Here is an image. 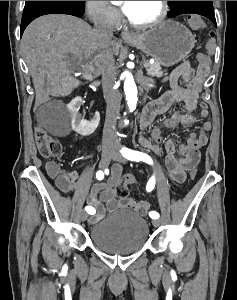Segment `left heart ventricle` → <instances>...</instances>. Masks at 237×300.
Here are the masks:
<instances>
[{
    "label": "left heart ventricle",
    "instance_id": "obj_1",
    "mask_svg": "<svg viewBox=\"0 0 237 300\" xmlns=\"http://www.w3.org/2000/svg\"><path fill=\"white\" fill-rule=\"evenodd\" d=\"M160 13V1H133L126 15L137 23L154 20Z\"/></svg>",
    "mask_w": 237,
    "mask_h": 300
}]
</instances>
